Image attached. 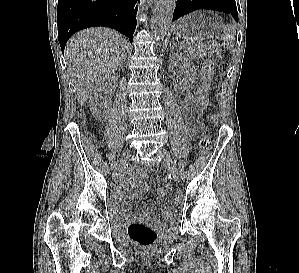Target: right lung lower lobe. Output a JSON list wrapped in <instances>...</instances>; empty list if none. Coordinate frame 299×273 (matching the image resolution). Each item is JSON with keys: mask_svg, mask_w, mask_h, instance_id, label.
Instances as JSON below:
<instances>
[{"mask_svg": "<svg viewBox=\"0 0 299 273\" xmlns=\"http://www.w3.org/2000/svg\"><path fill=\"white\" fill-rule=\"evenodd\" d=\"M137 2L139 0H59L57 25L62 52L74 33L94 26L116 29L132 42Z\"/></svg>", "mask_w": 299, "mask_h": 273, "instance_id": "right-lung-lower-lobe-1", "label": "right lung lower lobe"}]
</instances>
